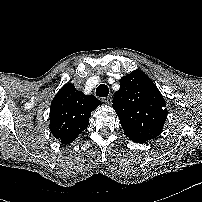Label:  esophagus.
Wrapping results in <instances>:
<instances>
[{
    "instance_id": "esophagus-1",
    "label": "esophagus",
    "mask_w": 202,
    "mask_h": 202,
    "mask_svg": "<svg viewBox=\"0 0 202 202\" xmlns=\"http://www.w3.org/2000/svg\"><path fill=\"white\" fill-rule=\"evenodd\" d=\"M102 101L105 102V103H107V104H111V102H112V96L109 95L108 97L103 98Z\"/></svg>"
}]
</instances>
